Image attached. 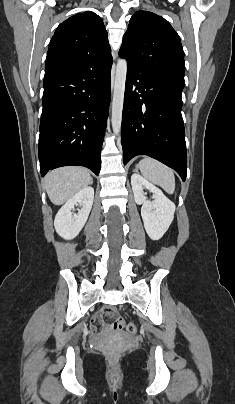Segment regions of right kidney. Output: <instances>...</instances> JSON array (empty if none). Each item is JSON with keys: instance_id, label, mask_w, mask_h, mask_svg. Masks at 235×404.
<instances>
[{"instance_id": "ca27d5eb", "label": "right kidney", "mask_w": 235, "mask_h": 404, "mask_svg": "<svg viewBox=\"0 0 235 404\" xmlns=\"http://www.w3.org/2000/svg\"><path fill=\"white\" fill-rule=\"evenodd\" d=\"M94 199V189L85 187L70 198L58 211L54 226L56 232L64 239L75 238L84 227L91 211ZM80 205L81 209L77 214H73L75 205Z\"/></svg>"}]
</instances>
